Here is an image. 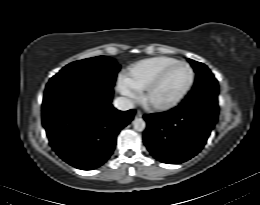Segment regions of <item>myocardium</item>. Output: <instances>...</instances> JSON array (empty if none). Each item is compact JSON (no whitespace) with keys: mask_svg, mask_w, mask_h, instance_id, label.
Listing matches in <instances>:
<instances>
[{"mask_svg":"<svg viewBox=\"0 0 260 205\" xmlns=\"http://www.w3.org/2000/svg\"><path fill=\"white\" fill-rule=\"evenodd\" d=\"M176 65H184L189 69L191 77H190V81H189L188 85L186 86V88L183 90V92L178 97H176L175 99H173L169 102H166V103L152 102L149 99L150 92L161 82V80L163 79L165 74ZM194 83H195V71H194L193 67L186 61L178 60L176 62H173V63L167 65L165 68H163L156 74V76L143 89L144 91H143L141 98L145 104H147L148 106H150L156 110H160V111L171 110V109L177 107L187 97V95L191 91Z\"/></svg>","mask_w":260,"mask_h":205,"instance_id":"1","label":"myocardium"}]
</instances>
